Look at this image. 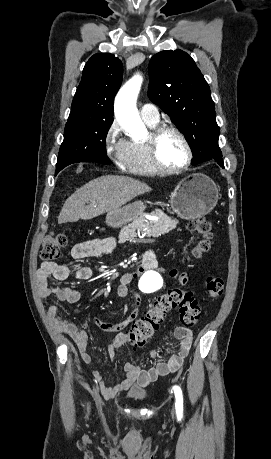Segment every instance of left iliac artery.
Returning <instances> with one entry per match:
<instances>
[{"instance_id":"44dca946","label":"left iliac artery","mask_w":271,"mask_h":459,"mask_svg":"<svg viewBox=\"0 0 271 459\" xmlns=\"http://www.w3.org/2000/svg\"><path fill=\"white\" fill-rule=\"evenodd\" d=\"M175 397H176V413L178 417H182L183 415V395H182V390L179 386H174L173 387Z\"/></svg>"}]
</instances>
